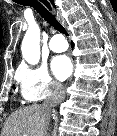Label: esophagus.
Returning <instances> with one entry per match:
<instances>
[{"label":"esophagus","instance_id":"obj_1","mask_svg":"<svg viewBox=\"0 0 117 136\" xmlns=\"http://www.w3.org/2000/svg\"><path fill=\"white\" fill-rule=\"evenodd\" d=\"M39 1H40L44 6H46V5L44 4V2H45V3H48L49 8H48L47 6H46V7H47L52 13H55V10H54V8L52 7V5H51V3H50L49 0H39Z\"/></svg>","mask_w":117,"mask_h":136}]
</instances>
